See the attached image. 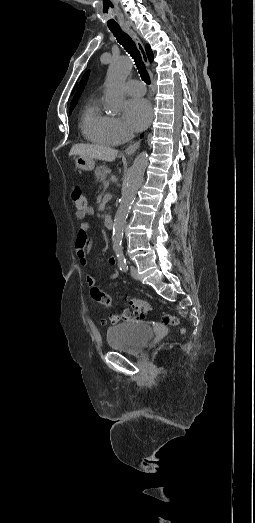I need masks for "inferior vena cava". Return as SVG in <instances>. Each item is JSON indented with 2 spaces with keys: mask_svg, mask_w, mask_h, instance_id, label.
<instances>
[{
  "mask_svg": "<svg viewBox=\"0 0 255 523\" xmlns=\"http://www.w3.org/2000/svg\"><path fill=\"white\" fill-rule=\"evenodd\" d=\"M132 138H134V134H133V132H129L128 140H132Z\"/></svg>",
  "mask_w": 255,
  "mask_h": 523,
  "instance_id": "inferior-vena-cava-1",
  "label": "inferior vena cava"
}]
</instances>
